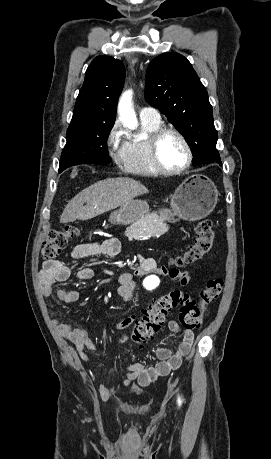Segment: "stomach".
I'll list each match as a JSON object with an SVG mask.
<instances>
[{"mask_svg":"<svg viewBox=\"0 0 271 459\" xmlns=\"http://www.w3.org/2000/svg\"><path fill=\"white\" fill-rule=\"evenodd\" d=\"M218 200V190L210 178L207 176H189L179 188H176L171 198L172 210H160L159 214L163 220L176 222L175 216L179 220H202L213 212ZM149 206L143 200H130L121 206L113 216L112 222L120 224H133L144 216H147Z\"/></svg>","mask_w":271,"mask_h":459,"instance_id":"1","label":"stomach"}]
</instances>
